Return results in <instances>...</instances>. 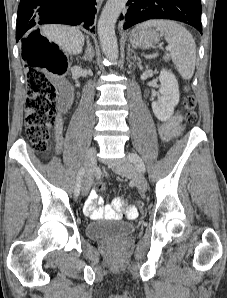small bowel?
<instances>
[{
  "mask_svg": "<svg viewBox=\"0 0 227 298\" xmlns=\"http://www.w3.org/2000/svg\"><path fill=\"white\" fill-rule=\"evenodd\" d=\"M65 108L66 106L62 105L61 110L63 111ZM158 131L164 141H169L178 136L183 131L180 113L177 112L167 121L159 123ZM55 133L57 141L60 142L62 138V122L60 118L56 122ZM96 204H98V207H96ZM130 213L137 214L138 208L131 206L126 214L131 216ZM84 214L92 219H101L103 217L122 218L125 215L123 203L120 199H115L112 205H105L95 190L89 193L88 199L84 205Z\"/></svg>",
  "mask_w": 227,
  "mask_h": 298,
  "instance_id": "obj_1",
  "label": "small bowel"
}]
</instances>
